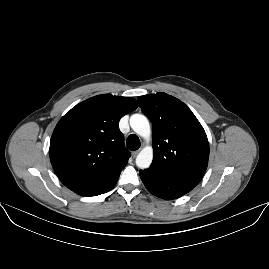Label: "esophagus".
Here are the masks:
<instances>
[{
	"label": "esophagus",
	"instance_id": "obj_1",
	"mask_svg": "<svg viewBox=\"0 0 269 269\" xmlns=\"http://www.w3.org/2000/svg\"><path fill=\"white\" fill-rule=\"evenodd\" d=\"M140 152V150H136L132 152V157L136 158V156L138 155V153Z\"/></svg>",
	"mask_w": 269,
	"mask_h": 269
}]
</instances>
